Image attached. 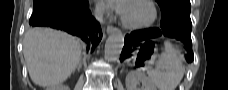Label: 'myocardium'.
I'll return each mask as SVG.
<instances>
[{
    "label": "myocardium",
    "instance_id": "1",
    "mask_svg": "<svg viewBox=\"0 0 228 90\" xmlns=\"http://www.w3.org/2000/svg\"><path fill=\"white\" fill-rule=\"evenodd\" d=\"M136 1L144 2L150 7L151 13H152L150 19L147 20L146 22H143V23H140V24H132V23H129L123 17V15H121V23H122V25L124 27L128 28V29H134V30L145 29V28H148V27L152 26L156 22L157 16H158L157 8H156L154 2L151 1V0H128V1H126V4L133 3V2H136Z\"/></svg>",
    "mask_w": 228,
    "mask_h": 90
}]
</instances>
